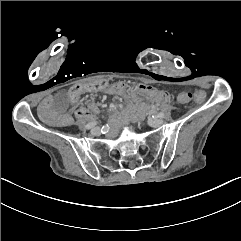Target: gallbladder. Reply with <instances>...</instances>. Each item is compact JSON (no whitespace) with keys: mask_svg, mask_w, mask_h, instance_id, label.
I'll return each instance as SVG.
<instances>
[{"mask_svg":"<svg viewBox=\"0 0 241 241\" xmlns=\"http://www.w3.org/2000/svg\"><path fill=\"white\" fill-rule=\"evenodd\" d=\"M69 110V97L65 92H57L53 98V111L57 116H64Z\"/></svg>","mask_w":241,"mask_h":241,"instance_id":"gallbladder-1","label":"gallbladder"}]
</instances>
